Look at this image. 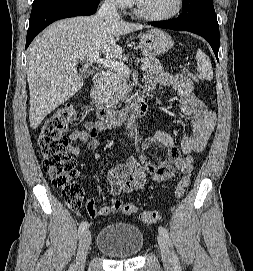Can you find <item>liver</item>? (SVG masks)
Returning a JSON list of instances; mask_svg holds the SVG:
<instances>
[{
    "mask_svg": "<svg viewBox=\"0 0 253 271\" xmlns=\"http://www.w3.org/2000/svg\"><path fill=\"white\" fill-rule=\"evenodd\" d=\"M145 27L123 20L109 22L97 15L63 19L48 26L27 50L31 128L36 129L48 114L82 88L78 61L97 52L107 60L120 59L123 48L117 44L118 38Z\"/></svg>",
    "mask_w": 253,
    "mask_h": 271,
    "instance_id": "liver-1",
    "label": "liver"
}]
</instances>
